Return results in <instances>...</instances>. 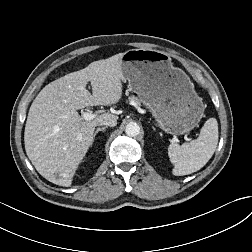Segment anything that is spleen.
Here are the masks:
<instances>
[{
	"label": "spleen",
	"mask_w": 252,
	"mask_h": 252,
	"mask_svg": "<svg viewBox=\"0 0 252 252\" xmlns=\"http://www.w3.org/2000/svg\"><path fill=\"white\" fill-rule=\"evenodd\" d=\"M218 144V123L209 118L201 128L197 139L181 146L172 143L168 155L174 165L173 175L183 176L200 170L213 156Z\"/></svg>",
	"instance_id": "spleen-1"
}]
</instances>
